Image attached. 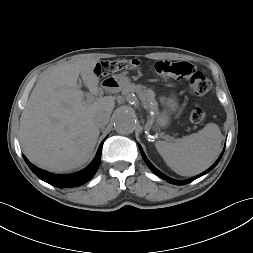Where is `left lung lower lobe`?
<instances>
[{
  "label": "left lung lower lobe",
  "instance_id": "left-lung-lower-lobe-1",
  "mask_svg": "<svg viewBox=\"0 0 253 253\" xmlns=\"http://www.w3.org/2000/svg\"><path fill=\"white\" fill-rule=\"evenodd\" d=\"M140 151H141V154H142V157L144 159V161L146 162V164L148 165V167L154 172V174H156L158 177L162 178V179H165L167 180L169 183L171 184H176V185H185L193 180H195L196 178L208 173L209 171H211L217 164L218 162L220 161L222 155H223V152L221 153L220 157L218 158V160L208 169L206 170L205 172L201 173L200 175L192 178V179H188V180H175V179H172L168 176H166L165 174H163L162 172H160L158 169H156L151 163L150 161L147 159V157L145 156L144 152L142 151L141 147H140Z\"/></svg>",
  "mask_w": 253,
  "mask_h": 253
}]
</instances>
